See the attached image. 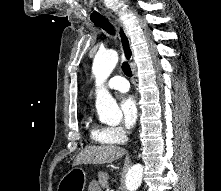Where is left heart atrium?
I'll use <instances>...</instances> for the list:
<instances>
[{
  "instance_id": "left-heart-atrium-1",
  "label": "left heart atrium",
  "mask_w": 221,
  "mask_h": 191,
  "mask_svg": "<svg viewBox=\"0 0 221 191\" xmlns=\"http://www.w3.org/2000/svg\"><path fill=\"white\" fill-rule=\"evenodd\" d=\"M124 124L128 129L135 126L138 118V106L136 98L132 95L125 96L120 103Z\"/></svg>"
}]
</instances>
